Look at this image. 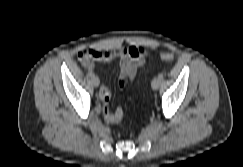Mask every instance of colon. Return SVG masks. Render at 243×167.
Segmentation results:
<instances>
[{
  "label": "colon",
  "mask_w": 243,
  "mask_h": 167,
  "mask_svg": "<svg viewBox=\"0 0 243 167\" xmlns=\"http://www.w3.org/2000/svg\"><path fill=\"white\" fill-rule=\"evenodd\" d=\"M85 52H82L81 54H84ZM159 57L161 60L165 61V62H172L174 60V55L171 52L168 51H163L159 54ZM131 80V77L129 75H120L119 77V85L120 87H125L128 82Z\"/></svg>",
  "instance_id": "obj_1"
}]
</instances>
